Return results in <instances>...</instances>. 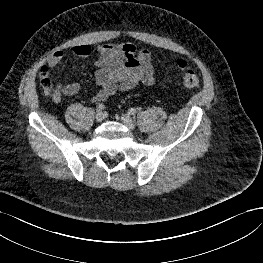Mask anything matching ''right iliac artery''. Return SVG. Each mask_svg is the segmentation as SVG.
<instances>
[{
    "label": "right iliac artery",
    "instance_id": "82829eb1",
    "mask_svg": "<svg viewBox=\"0 0 263 263\" xmlns=\"http://www.w3.org/2000/svg\"><path fill=\"white\" fill-rule=\"evenodd\" d=\"M104 109H105V106L103 104H99L98 107H97L98 111H102Z\"/></svg>",
    "mask_w": 263,
    "mask_h": 263
}]
</instances>
